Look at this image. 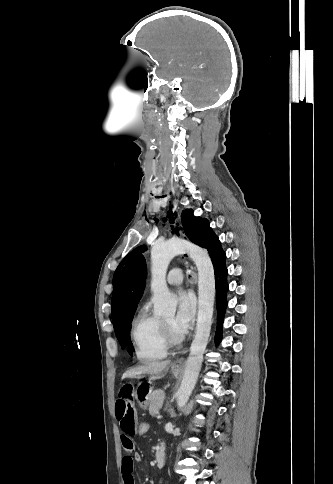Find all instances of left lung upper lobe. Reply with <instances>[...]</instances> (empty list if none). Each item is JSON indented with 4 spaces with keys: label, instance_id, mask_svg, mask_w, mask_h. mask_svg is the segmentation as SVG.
<instances>
[{
    "label": "left lung upper lobe",
    "instance_id": "1",
    "mask_svg": "<svg viewBox=\"0 0 333 484\" xmlns=\"http://www.w3.org/2000/svg\"><path fill=\"white\" fill-rule=\"evenodd\" d=\"M182 225L187 237L195 244L201 245L202 238L205 232L207 225H209L206 219H202L200 217H195L193 215V211L191 209H186L181 214ZM146 250V246L142 245L134 249L130 252L119 264L117 267L114 277H113V284L116 283L118 276L120 274L121 269L123 268L124 264L133 256L138 253L144 252Z\"/></svg>",
    "mask_w": 333,
    "mask_h": 484
}]
</instances>
